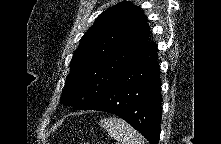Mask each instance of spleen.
Instances as JSON below:
<instances>
[{"label":"spleen","mask_w":221,"mask_h":144,"mask_svg":"<svg viewBox=\"0 0 221 144\" xmlns=\"http://www.w3.org/2000/svg\"><path fill=\"white\" fill-rule=\"evenodd\" d=\"M99 124L118 144H144L143 136L123 119L104 118Z\"/></svg>","instance_id":"spleen-1"}]
</instances>
